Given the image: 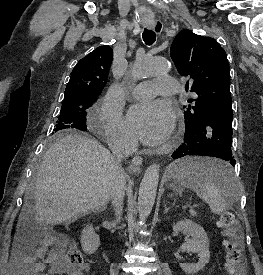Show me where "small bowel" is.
I'll return each mask as SVG.
<instances>
[{"label": "small bowel", "instance_id": "small-bowel-1", "mask_svg": "<svg viewBox=\"0 0 263 275\" xmlns=\"http://www.w3.org/2000/svg\"><path fill=\"white\" fill-rule=\"evenodd\" d=\"M24 275H84L83 270H70L61 245L48 233L43 240L19 257Z\"/></svg>", "mask_w": 263, "mask_h": 275}]
</instances>
